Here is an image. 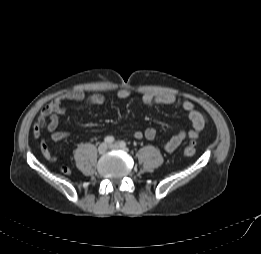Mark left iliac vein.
<instances>
[{
	"label": "left iliac vein",
	"mask_w": 261,
	"mask_h": 254,
	"mask_svg": "<svg viewBox=\"0 0 261 254\" xmlns=\"http://www.w3.org/2000/svg\"><path fill=\"white\" fill-rule=\"evenodd\" d=\"M109 148L112 149V150L122 149V150H124V151H127V148L121 147L120 144H118V143L110 144V145H109Z\"/></svg>",
	"instance_id": "obj_1"
}]
</instances>
